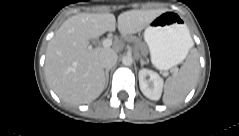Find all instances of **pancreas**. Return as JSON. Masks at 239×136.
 Wrapping results in <instances>:
<instances>
[{
	"mask_svg": "<svg viewBox=\"0 0 239 136\" xmlns=\"http://www.w3.org/2000/svg\"><path fill=\"white\" fill-rule=\"evenodd\" d=\"M126 40L129 42H136V43L139 42V40L137 38L131 37V36L126 37Z\"/></svg>",
	"mask_w": 239,
	"mask_h": 136,
	"instance_id": "obj_1",
	"label": "pancreas"
}]
</instances>
